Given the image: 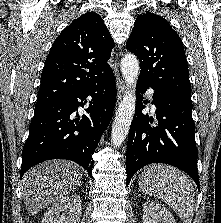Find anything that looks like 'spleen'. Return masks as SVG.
<instances>
[{
    "label": "spleen",
    "instance_id": "1",
    "mask_svg": "<svg viewBox=\"0 0 221 223\" xmlns=\"http://www.w3.org/2000/svg\"><path fill=\"white\" fill-rule=\"evenodd\" d=\"M143 192L163 200L183 220L191 223L194 216V188L187 176L168 165L148 166L139 176Z\"/></svg>",
    "mask_w": 221,
    "mask_h": 223
}]
</instances>
